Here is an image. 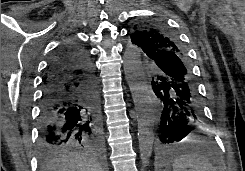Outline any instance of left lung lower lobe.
Segmentation results:
<instances>
[{
    "mask_svg": "<svg viewBox=\"0 0 245 171\" xmlns=\"http://www.w3.org/2000/svg\"><path fill=\"white\" fill-rule=\"evenodd\" d=\"M150 62L161 73L151 78L152 89L160 100L158 140L163 145L172 144L185 138L191 126L202 125V105L185 58L166 52Z\"/></svg>",
    "mask_w": 245,
    "mask_h": 171,
    "instance_id": "left-lung-lower-lobe-1",
    "label": "left lung lower lobe"
}]
</instances>
